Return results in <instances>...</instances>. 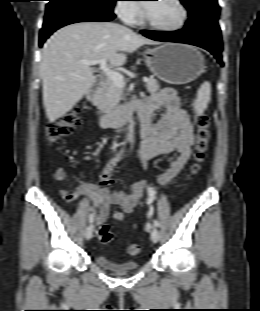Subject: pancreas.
Here are the masks:
<instances>
[{"mask_svg": "<svg viewBox=\"0 0 260 311\" xmlns=\"http://www.w3.org/2000/svg\"><path fill=\"white\" fill-rule=\"evenodd\" d=\"M160 86L156 79L149 78L146 82V89L153 94L159 90ZM123 88L118 87L111 79H107L102 85L96 102L97 108L106 114L112 113L118 107V103L122 100Z\"/></svg>", "mask_w": 260, "mask_h": 311, "instance_id": "pancreas-1", "label": "pancreas"}]
</instances>
